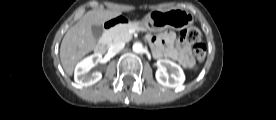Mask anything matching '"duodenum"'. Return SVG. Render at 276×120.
<instances>
[{"instance_id": "obj_1", "label": "duodenum", "mask_w": 276, "mask_h": 120, "mask_svg": "<svg viewBox=\"0 0 276 120\" xmlns=\"http://www.w3.org/2000/svg\"><path fill=\"white\" fill-rule=\"evenodd\" d=\"M131 18L125 15H117L113 18H110L108 20L105 21V30L108 31L111 28H113L116 25H129L131 23ZM96 52L98 54H104L106 52V41L102 40L101 42H99V44L96 46Z\"/></svg>"}]
</instances>
